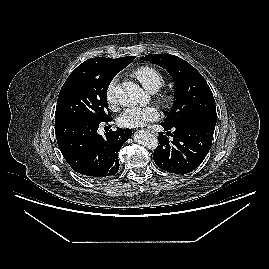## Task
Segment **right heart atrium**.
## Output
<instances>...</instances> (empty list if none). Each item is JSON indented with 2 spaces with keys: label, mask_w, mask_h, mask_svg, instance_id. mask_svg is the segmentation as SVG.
Masks as SVG:
<instances>
[{
  "label": "right heart atrium",
  "mask_w": 269,
  "mask_h": 269,
  "mask_svg": "<svg viewBox=\"0 0 269 269\" xmlns=\"http://www.w3.org/2000/svg\"><path fill=\"white\" fill-rule=\"evenodd\" d=\"M117 82L118 77H113L106 87V100L110 106H115L117 104V97H116Z\"/></svg>",
  "instance_id": "1"
}]
</instances>
